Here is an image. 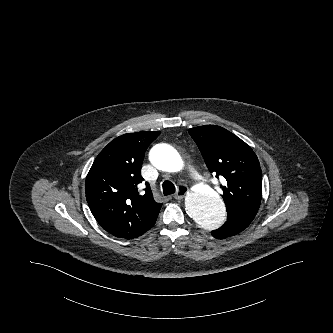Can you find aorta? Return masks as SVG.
<instances>
[{"instance_id":"1","label":"aorta","mask_w":333,"mask_h":333,"mask_svg":"<svg viewBox=\"0 0 333 333\" xmlns=\"http://www.w3.org/2000/svg\"><path fill=\"white\" fill-rule=\"evenodd\" d=\"M150 161L157 169L176 172L183 166L176 149L168 144H158L150 151ZM188 215L206 231L218 229L226 220L223 200L207 185H198L185 197Z\"/></svg>"}]
</instances>
